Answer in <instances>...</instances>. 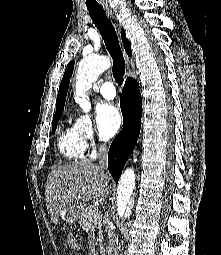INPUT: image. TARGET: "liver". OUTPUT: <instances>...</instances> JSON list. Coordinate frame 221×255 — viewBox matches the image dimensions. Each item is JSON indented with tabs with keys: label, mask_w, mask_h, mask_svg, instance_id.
Instances as JSON below:
<instances>
[{
	"label": "liver",
	"mask_w": 221,
	"mask_h": 255,
	"mask_svg": "<svg viewBox=\"0 0 221 255\" xmlns=\"http://www.w3.org/2000/svg\"><path fill=\"white\" fill-rule=\"evenodd\" d=\"M110 180L99 165L91 162H74L53 169L45 185L46 206L53 223H58L60 211L71 202H106L112 188Z\"/></svg>",
	"instance_id": "obj_1"
}]
</instances>
